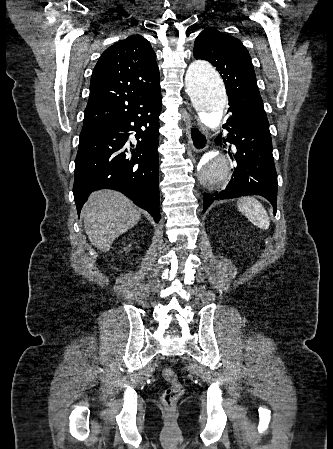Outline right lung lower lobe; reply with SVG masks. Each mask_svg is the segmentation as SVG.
<instances>
[{"mask_svg":"<svg viewBox=\"0 0 333 449\" xmlns=\"http://www.w3.org/2000/svg\"><path fill=\"white\" fill-rule=\"evenodd\" d=\"M161 94L106 123L83 128L73 194L78 214L89 193L114 189L160 220L158 135ZM130 131L137 143L129 142Z\"/></svg>","mask_w":333,"mask_h":449,"instance_id":"right-lung-lower-lobe-1","label":"right lung lower lobe"}]
</instances>
